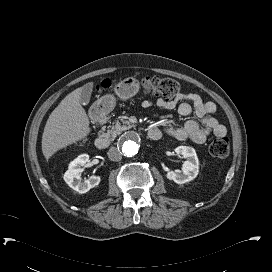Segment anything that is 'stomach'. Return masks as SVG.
I'll list each match as a JSON object with an SVG mask.
<instances>
[{
    "mask_svg": "<svg viewBox=\"0 0 272 272\" xmlns=\"http://www.w3.org/2000/svg\"><path fill=\"white\" fill-rule=\"evenodd\" d=\"M140 89L139 81L135 77H127L120 81L114 88L116 95L122 99L127 100L135 96ZM100 103L105 107L106 111L114 109L116 100L114 96L107 95L101 98Z\"/></svg>",
    "mask_w": 272,
    "mask_h": 272,
    "instance_id": "stomach-1",
    "label": "stomach"
}]
</instances>
